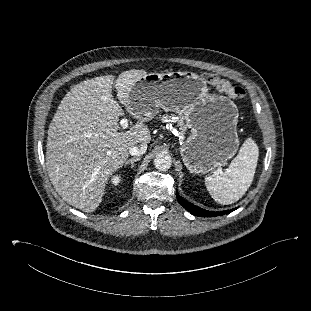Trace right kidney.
<instances>
[{
    "label": "right kidney",
    "instance_id": "obj_1",
    "mask_svg": "<svg viewBox=\"0 0 311 311\" xmlns=\"http://www.w3.org/2000/svg\"><path fill=\"white\" fill-rule=\"evenodd\" d=\"M120 182H121V176H120V175H115V176L111 179V183H112L114 186H117Z\"/></svg>",
    "mask_w": 311,
    "mask_h": 311
}]
</instances>
